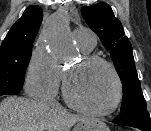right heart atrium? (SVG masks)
<instances>
[{"mask_svg":"<svg viewBox=\"0 0 151 131\" xmlns=\"http://www.w3.org/2000/svg\"><path fill=\"white\" fill-rule=\"evenodd\" d=\"M62 79V70L52 56L36 48L29 60L26 77V92L33 98L47 99L54 96Z\"/></svg>","mask_w":151,"mask_h":131,"instance_id":"d8ad5b80","label":"right heart atrium"}]
</instances>
